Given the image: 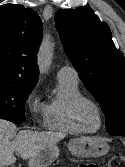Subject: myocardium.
I'll return each instance as SVG.
<instances>
[{
	"instance_id": "obj_1",
	"label": "myocardium",
	"mask_w": 125,
	"mask_h": 167,
	"mask_svg": "<svg viewBox=\"0 0 125 167\" xmlns=\"http://www.w3.org/2000/svg\"><path fill=\"white\" fill-rule=\"evenodd\" d=\"M84 104L92 105L95 108V110L97 111L99 123H98L97 128H95V129H87L81 123L80 110ZM71 116H72V120L75 123V125L82 132L95 133L102 127L103 115H102L101 108H100L99 104L95 100H93L92 98H89L86 96H81V97L77 98L71 106Z\"/></svg>"
}]
</instances>
